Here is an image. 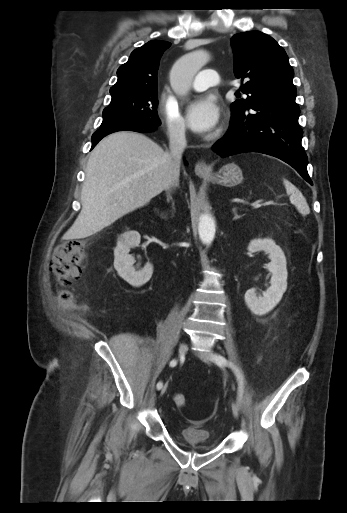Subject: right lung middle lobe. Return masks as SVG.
I'll use <instances>...</instances> for the list:
<instances>
[{"label":"right lung middle lobe","instance_id":"right-lung-middle-lobe-1","mask_svg":"<svg viewBox=\"0 0 347 513\" xmlns=\"http://www.w3.org/2000/svg\"><path fill=\"white\" fill-rule=\"evenodd\" d=\"M111 95V102L103 111L101 127L121 122H138L156 127L161 124L157 115V90Z\"/></svg>","mask_w":347,"mask_h":513}]
</instances>
